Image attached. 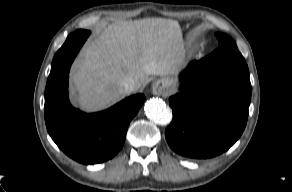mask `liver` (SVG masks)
<instances>
[{"instance_id": "1", "label": "liver", "mask_w": 292, "mask_h": 192, "mask_svg": "<svg viewBox=\"0 0 292 192\" xmlns=\"http://www.w3.org/2000/svg\"><path fill=\"white\" fill-rule=\"evenodd\" d=\"M185 42L176 20L144 18L115 21L84 48L71 81L75 101L86 111L108 107L126 93L122 80L131 77L135 90L150 75H173L185 62Z\"/></svg>"}]
</instances>
